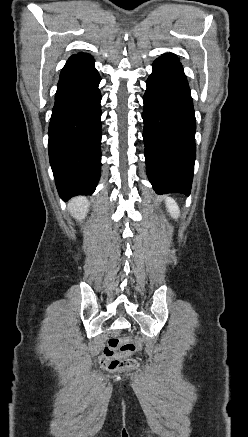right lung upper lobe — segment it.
Listing matches in <instances>:
<instances>
[{
  "label": "right lung upper lobe",
  "mask_w": 248,
  "mask_h": 437,
  "mask_svg": "<svg viewBox=\"0 0 248 437\" xmlns=\"http://www.w3.org/2000/svg\"><path fill=\"white\" fill-rule=\"evenodd\" d=\"M77 55H88V54H86V53H78ZM73 56H76V55H73Z\"/></svg>",
  "instance_id": "right-lung-upper-lobe-1"
}]
</instances>
